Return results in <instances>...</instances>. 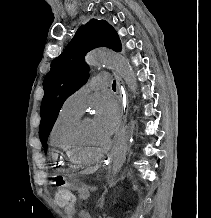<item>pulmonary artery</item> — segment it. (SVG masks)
Returning <instances> with one entry per match:
<instances>
[{"instance_id":"1","label":"pulmonary artery","mask_w":211,"mask_h":218,"mask_svg":"<svg viewBox=\"0 0 211 218\" xmlns=\"http://www.w3.org/2000/svg\"><path fill=\"white\" fill-rule=\"evenodd\" d=\"M94 79L96 80H91L90 88L94 87L95 91H102L103 87L111 85V80H106L111 79V74L101 73L94 77ZM89 92L90 89L86 87L76 90L67 97L64 106L78 114H82L85 109V101Z\"/></svg>"}]
</instances>
